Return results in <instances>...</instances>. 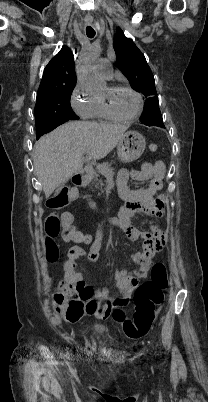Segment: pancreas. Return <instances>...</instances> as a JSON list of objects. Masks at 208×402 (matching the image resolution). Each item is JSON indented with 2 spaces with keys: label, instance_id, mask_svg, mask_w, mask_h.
Wrapping results in <instances>:
<instances>
[{
  "label": "pancreas",
  "instance_id": "obj_1",
  "mask_svg": "<svg viewBox=\"0 0 208 402\" xmlns=\"http://www.w3.org/2000/svg\"><path fill=\"white\" fill-rule=\"evenodd\" d=\"M111 164H100V166H97V170H86L88 176H91V178H93V180H91L92 184H95V186H97V184H99L97 178L99 176V174H105V172H108V170H112V168H110Z\"/></svg>",
  "mask_w": 208,
  "mask_h": 402
}]
</instances>
